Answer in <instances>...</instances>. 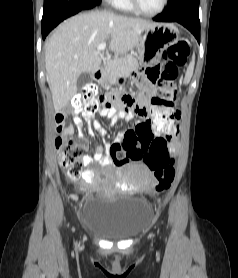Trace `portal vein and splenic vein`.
Listing matches in <instances>:
<instances>
[{
    "mask_svg": "<svg viewBox=\"0 0 238 278\" xmlns=\"http://www.w3.org/2000/svg\"><path fill=\"white\" fill-rule=\"evenodd\" d=\"M105 48H106V42L100 43V44L97 46V50H98V51H104Z\"/></svg>",
    "mask_w": 238,
    "mask_h": 278,
    "instance_id": "18ae733b",
    "label": "portal vein and splenic vein"
}]
</instances>
